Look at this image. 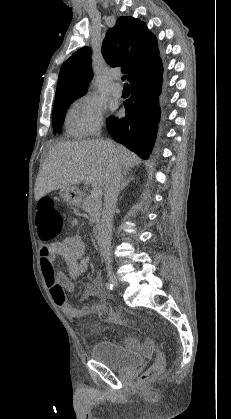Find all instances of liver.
Wrapping results in <instances>:
<instances>
[{
    "label": "liver",
    "mask_w": 231,
    "mask_h": 419,
    "mask_svg": "<svg viewBox=\"0 0 231 419\" xmlns=\"http://www.w3.org/2000/svg\"><path fill=\"white\" fill-rule=\"evenodd\" d=\"M124 171L140 164L141 159L125 146L111 140L61 142L49 152L37 176L35 200L57 189L88 184L105 185L110 161Z\"/></svg>",
    "instance_id": "1"
}]
</instances>
